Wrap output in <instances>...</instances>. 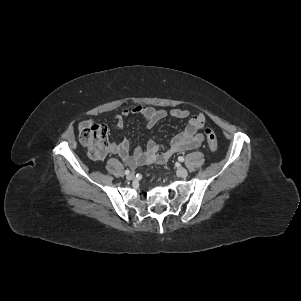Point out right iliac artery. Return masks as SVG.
<instances>
[{"instance_id": "right-iliac-artery-1", "label": "right iliac artery", "mask_w": 301, "mask_h": 301, "mask_svg": "<svg viewBox=\"0 0 301 301\" xmlns=\"http://www.w3.org/2000/svg\"><path fill=\"white\" fill-rule=\"evenodd\" d=\"M126 175H128L129 173H130V170H125V172H124Z\"/></svg>"}]
</instances>
